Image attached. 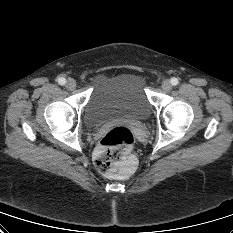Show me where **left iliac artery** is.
I'll return each mask as SVG.
<instances>
[{
    "mask_svg": "<svg viewBox=\"0 0 233 233\" xmlns=\"http://www.w3.org/2000/svg\"><path fill=\"white\" fill-rule=\"evenodd\" d=\"M170 82L173 86H176L179 83L178 79L175 77H173Z\"/></svg>",
    "mask_w": 233,
    "mask_h": 233,
    "instance_id": "1",
    "label": "left iliac artery"
}]
</instances>
